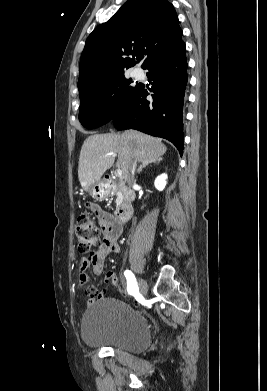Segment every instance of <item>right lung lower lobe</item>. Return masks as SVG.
<instances>
[{
  "label": "right lung lower lobe",
  "instance_id": "1",
  "mask_svg": "<svg viewBox=\"0 0 267 391\" xmlns=\"http://www.w3.org/2000/svg\"><path fill=\"white\" fill-rule=\"evenodd\" d=\"M144 69L152 82L147 90L143 84L133 98L114 115V126L137 129L171 141L183 153L182 111L187 85V59L185 43L163 54ZM150 92L153 100H146Z\"/></svg>",
  "mask_w": 267,
  "mask_h": 391
}]
</instances>
